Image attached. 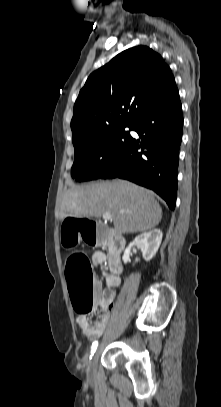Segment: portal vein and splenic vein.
Segmentation results:
<instances>
[{
  "mask_svg": "<svg viewBox=\"0 0 221 407\" xmlns=\"http://www.w3.org/2000/svg\"><path fill=\"white\" fill-rule=\"evenodd\" d=\"M102 218H103L104 220H112L111 214H109V213L103 214V215H102Z\"/></svg>",
  "mask_w": 221,
  "mask_h": 407,
  "instance_id": "obj_1",
  "label": "portal vein and splenic vein"
}]
</instances>
